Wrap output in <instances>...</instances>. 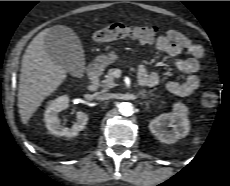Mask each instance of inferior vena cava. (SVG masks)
Masks as SVG:
<instances>
[{"instance_id":"obj_1","label":"inferior vena cava","mask_w":230,"mask_h":186,"mask_svg":"<svg viewBox=\"0 0 230 186\" xmlns=\"http://www.w3.org/2000/svg\"><path fill=\"white\" fill-rule=\"evenodd\" d=\"M95 98L98 100H108L110 98V94L104 92H96Z\"/></svg>"}]
</instances>
